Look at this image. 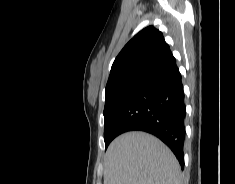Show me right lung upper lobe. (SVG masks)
<instances>
[{
    "instance_id": "right-lung-upper-lobe-1",
    "label": "right lung upper lobe",
    "mask_w": 235,
    "mask_h": 184,
    "mask_svg": "<svg viewBox=\"0 0 235 184\" xmlns=\"http://www.w3.org/2000/svg\"><path fill=\"white\" fill-rule=\"evenodd\" d=\"M171 55L163 34L153 26L144 28L124 46L116 57L105 92L121 86L130 78H143Z\"/></svg>"
}]
</instances>
